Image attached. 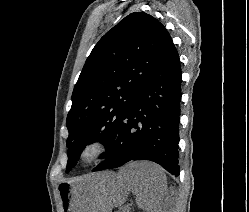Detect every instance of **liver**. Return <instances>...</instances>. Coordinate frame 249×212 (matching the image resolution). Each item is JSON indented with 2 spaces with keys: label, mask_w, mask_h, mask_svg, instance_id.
<instances>
[{
  "label": "liver",
  "mask_w": 249,
  "mask_h": 212,
  "mask_svg": "<svg viewBox=\"0 0 249 212\" xmlns=\"http://www.w3.org/2000/svg\"><path fill=\"white\" fill-rule=\"evenodd\" d=\"M99 188L102 192L103 212H111L125 204L128 192L136 194L138 208L151 210L158 206L167 188L163 168L152 162H129L119 168L118 174H99Z\"/></svg>",
  "instance_id": "6515ba94"
}]
</instances>
